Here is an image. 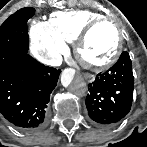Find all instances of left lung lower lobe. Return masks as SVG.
<instances>
[{"instance_id": "1", "label": "left lung lower lobe", "mask_w": 147, "mask_h": 147, "mask_svg": "<svg viewBox=\"0 0 147 147\" xmlns=\"http://www.w3.org/2000/svg\"><path fill=\"white\" fill-rule=\"evenodd\" d=\"M86 98L89 121L109 128L118 124L130 111L134 77L128 53L123 52L109 72L97 75Z\"/></svg>"}]
</instances>
